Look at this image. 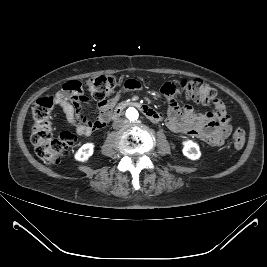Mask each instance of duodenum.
Returning <instances> with one entry per match:
<instances>
[{
    "mask_svg": "<svg viewBox=\"0 0 267 267\" xmlns=\"http://www.w3.org/2000/svg\"><path fill=\"white\" fill-rule=\"evenodd\" d=\"M129 106L138 107L143 112V114L152 122H159L162 119L161 115L157 111H155L151 106L141 103L139 101L128 100L117 104L110 111L109 120L117 119L122 114L124 109Z\"/></svg>",
    "mask_w": 267,
    "mask_h": 267,
    "instance_id": "duodenum-1",
    "label": "duodenum"
}]
</instances>
